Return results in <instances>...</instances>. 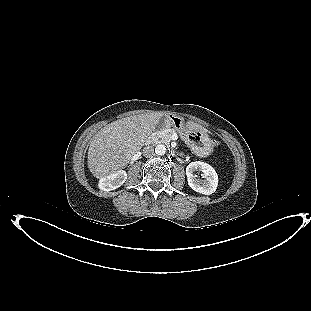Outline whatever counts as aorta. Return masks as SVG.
Listing matches in <instances>:
<instances>
[{
  "instance_id": "aorta-1",
  "label": "aorta",
  "mask_w": 311,
  "mask_h": 311,
  "mask_svg": "<svg viewBox=\"0 0 311 311\" xmlns=\"http://www.w3.org/2000/svg\"><path fill=\"white\" fill-rule=\"evenodd\" d=\"M155 153L158 156H162L166 153V147L163 144H159L155 147Z\"/></svg>"
}]
</instances>
